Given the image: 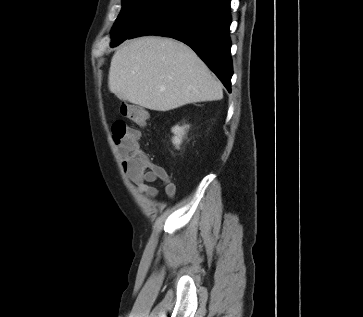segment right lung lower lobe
Returning <instances> with one entry per match:
<instances>
[{
	"label": "right lung lower lobe",
	"mask_w": 363,
	"mask_h": 317,
	"mask_svg": "<svg viewBox=\"0 0 363 317\" xmlns=\"http://www.w3.org/2000/svg\"><path fill=\"white\" fill-rule=\"evenodd\" d=\"M230 1L178 0L142 24L128 38L161 35L184 42L230 92L233 74Z\"/></svg>",
	"instance_id": "obj_1"
}]
</instances>
